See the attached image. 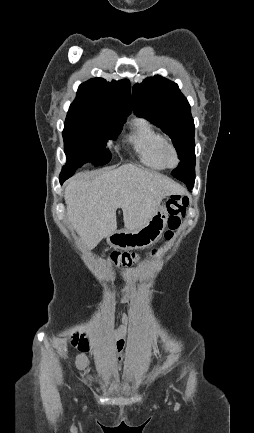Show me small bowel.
<instances>
[{"label":"small bowel","mask_w":254,"mask_h":433,"mask_svg":"<svg viewBox=\"0 0 254 433\" xmlns=\"http://www.w3.org/2000/svg\"><path fill=\"white\" fill-rule=\"evenodd\" d=\"M135 321L132 317L124 314L122 316V324L117 328L118 339L116 342V348L119 352H121L125 345V340L123 338L126 330L129 326H134ZM121 359V357H119ZM76 366L80 370H85L88 366V359L84 354H79L76 356Z\"/></svg>","instance_id":"c3829d8e"}]
</instances>
